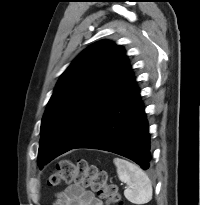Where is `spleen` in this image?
Returning a JSON list of instances; mask_svg holds the SVG:
<instances>
[{
	"label": "spleen",
	"mask_w": 200,
	"mask_h": 205,
	"mask_svg": "<svg viewBox=\"0 0 200 205\" xmlns=\"http://www.w3.org/2000/svg\"><path fill=\"white\" fill-rule=\"evenodd\" d=\"M118 178L128 187L124 195L133 204H146L152 199V185L146 173L136 164L121 158L113 160Z\"/></svg>",
	"instance_id": "1"
}]
</instances>
